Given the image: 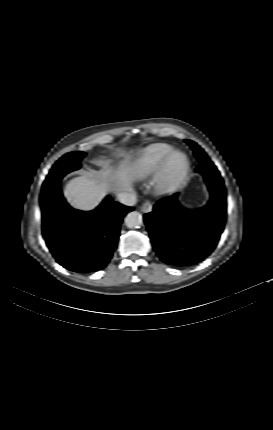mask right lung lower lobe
I'll list each match as a JSON object with an SVG mask.
<instances>
[{
    "label": "right lung lower lobe",
    "mask_w": 273,
    "mask_h": 430,
    "mask_svg": "<svg viewBox=\"0 0 273 430\" xmlns=\"http://www.w3.org/2000/svg\"><path fill=\"white\" fill-rule=\"evenodd\" d=\"M42 233L56 261L64 268L90 273L107 266L117 247L126 207L110 197L91 212L69 207L60 181L42 190Z\"/></svg>",
    "instance_id": "right-lung-lower-lobe-1"
}]
</instances>
